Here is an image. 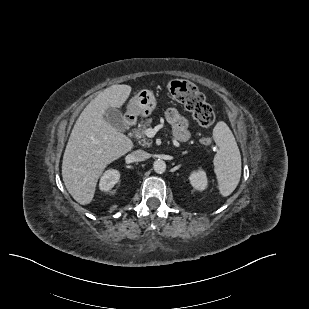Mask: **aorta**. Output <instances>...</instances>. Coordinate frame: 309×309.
<instances>
[{
	"instance_id": "obj_1",
	"label": "aorta",
	"mask_w": 309,
	"mask_h": 309,
	"mask_svg": "<svg viewBox=\"0 0 309 309\" xmlns=\"http://www.w3.org/2000/svg\"><path fill=\"white\" fill-rule=\"evenodd\" d=\"M154 171L158 174H162L166 170V163L163 160H156L153 164Z\"/></svg>"
}]
</instances>
